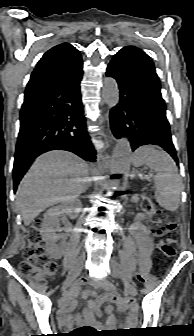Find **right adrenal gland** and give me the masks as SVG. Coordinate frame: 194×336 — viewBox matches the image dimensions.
I'll return each instance as SVG.
<instances>
[{"instance_id":"right-adrenal-gland-1","label":"right adrenal gland","mask_w":194,"mask_h":336,"mask_svg":"<svg viewBox=\"0 0 194 336\" xmlns=\"http://www.w3.org/2000/svg\"><path fill=\"white\" fill-rule=\"evenodd\" d=\"M91 182H92L91 179L88 178L85 190H88V188L91 187Z\"/></svg>"}]
</instances>
